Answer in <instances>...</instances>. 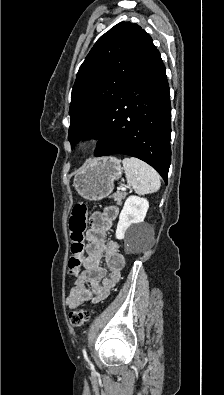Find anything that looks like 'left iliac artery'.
<instances>
[{"instance_id": "left-iliac-artery-1", "label": "left iliac artery", "mask_w": 224, "mask_h": 395, "mask_svg": "<svg viewBox=\"0 0 224 395\" xmlns=\"http://www.w3.org/2000/svg\"><path fill=\"white\" fill-rule=\"evenodd\" d=\"M83 353H84V356H85V358H86V351H85V349H83Z\"/></svg>"}]
</instances>
